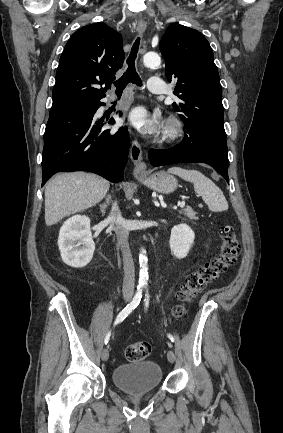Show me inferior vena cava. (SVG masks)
I'll list each match as a JSON object with an SVG mask.
<instances>
[{
  "instance_id": "602c4592",
  "label": "inferior vena cava",
  "mask_w": 283,
  "mask_h": 433,
  "mask_svg": "<svg viewBox=\"0 0 283 433\" xmlns=\"http://www.w3.org/2000/svg\"><path fill=\"white\" fill-rule=\"evenodd\" d=\"M108 219L110 223H112V225H115L114 229L117 235L118 245L121 249L123 257L124 279L122 291L124 295H126V293H130V295H133L135 285V267L131 251L129 249V231L128 229H125L123 225V219L121 217V212H119L117 202H115L110 217H108Z\"/></svg>"
}]
</instances>
